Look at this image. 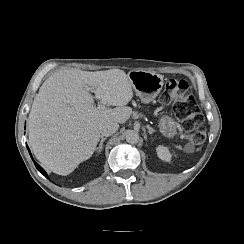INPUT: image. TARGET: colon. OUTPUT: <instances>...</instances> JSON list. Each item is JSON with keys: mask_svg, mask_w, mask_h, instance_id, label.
<instances>
[{"mask_svg": "<svg viewBox=\"0 0 244 244\" xmlns=\"http://www.w3.org/2000/svg\"><path fill=\"white\" fill-rule=\"evenodd\" d=\"M190 91L191 87L186 80L173 77L165 83L160 100L173 104L177 117L184 120L189 140L194 144H201L206 139L204 118Z\"/></svg>", "mask_w": 244, "mask_h": 244, "instance_id": "obj_1", "label": "colon"}]
</instances>
